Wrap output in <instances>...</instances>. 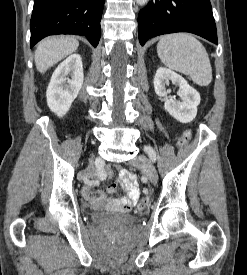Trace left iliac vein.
Here are the masks:
<instances>
[{"mask_svg": "<svg viewBox=\"0 0 247 275\" xmlns=\"http://www.w3.org/2000/svg\"><path fill=\"white\" fill-rule=\"evenodd\" d=\"M131 165L141 169L151 183L157 182V171L152 162L147 157L139 155L132 160Z\"/></svg>", "mask_w": 247, "mask_h": 275, "instance_id": "obj_1", "label": "left iliac vein"}]
</instances>
